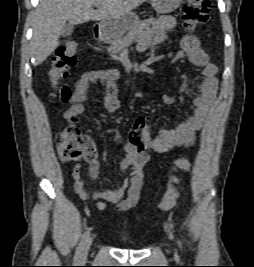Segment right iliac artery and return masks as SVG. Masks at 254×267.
I'll return each instance as SVG.
<instances>
[{"instance_id":"82829eb1","label":"right iliac artery","mask_w":254,"mask_h":267,"mask_svg":"<svg viewBox=\"0 0 254 267\" xmlns=\"http://www.w3.org/2000/svg\"><path fill=\"white\" fill-rule=\"evenodd\" d=\"M90 235V230H87L86 232H84V234L82 235V239L76 249L75 252V256H74V262H79L80 261V256H81V252L83 250L84 244L86 242V240L89 238Z\"/></svg>"}]
</instances>
